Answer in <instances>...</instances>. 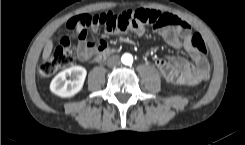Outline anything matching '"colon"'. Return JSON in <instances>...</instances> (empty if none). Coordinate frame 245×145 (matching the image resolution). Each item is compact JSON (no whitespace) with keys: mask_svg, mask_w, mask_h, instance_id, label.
<instances>
[{"mask_svg":"<svg viewBox=\"0 0 245 145\" xmlns=\"http://www.w3.org/2000/svg\"><path fill=\"white\" fill-rule=\"evenodd\" d=\"M179 23L180 20L178 18L168 13L144 8L124 10L119 13L106 11L75 16L67 22L65 34L61 38L60 45L53 49L42 61L39 67V74L42 77H47L57 70L67 68L72 64L73 56L81 50L80 41L88 37L87 30L77 31V26L79 25H99L105 27L108 31L124 32L142 26L175 29ZM87 42L90 45L94 44L96 42L95 36H89ZM192 45L199 53H207V45L200 35L196 34L192 37Z\"/></svg>","mask_w":245,"mask_h":145,"instance_id":"obj_1","label":"colon"}]
</instances>
